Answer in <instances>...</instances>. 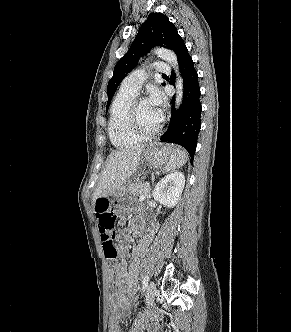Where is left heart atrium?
<instances>
[{"label":"left heart atrium","instance_id":"left-heart-atrium-1","mask_svg":"<svg viewBox=\"0 0 291 332\" xmlns=\"http://www.w3.org/2000/svg\"><path fill=\"white\" fill-rule=\"evenodd\" d=\"M147 101L157 112L159 120L161 121L162 119L161 106L163 105L164 102V97L162 93L157 89L151 90Z\"/></svg>","mask_w":291,"mask_h":332}]
</instances>
